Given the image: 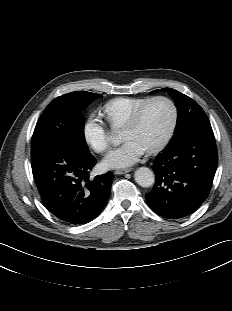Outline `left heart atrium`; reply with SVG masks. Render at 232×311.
<instances>
[{
  "label": "left heart atrium",
  "mask_w": 232,
  "mask_h": 311,
  "mask_svg": "<svg viewBox=\"0 0 232 311\" xmlns=\"http://www.w3.org/2000/svg\"><path fill=\"white\" fill-rule=\"evenodd\" d=\"M146 151L145 146L137 140H127L105 157L103 165L107 168L128 167L138 162Z\"/></svg>",
  "instance_id": "obj_1"
}]
</instances>
